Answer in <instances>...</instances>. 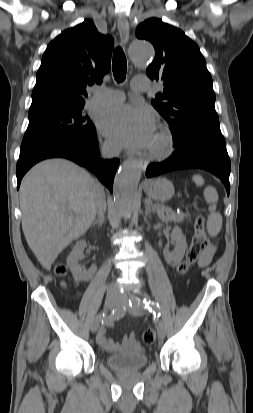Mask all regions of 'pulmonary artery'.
<instances>
[{
	"label": "pulmonary artery",
	"instance_id": "obj_1",
	"mask_svg": "<svg viewBox=\"0 0 253 413\" xmlns=\"http://www.w3.org/2000/svg\"><path fill=\"white\" fill-rule=\"evenodd\" d=\"M148 86L146 84L136 86L133 85L134 91H145ZM124 99L123 93L112 89H96L92 98L88 102V106L92 108L108 107L120 103Z\"/></svg>",
	"mask_w": 253,
	"mask_h": 413
}]
</instances>
